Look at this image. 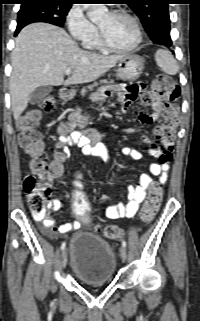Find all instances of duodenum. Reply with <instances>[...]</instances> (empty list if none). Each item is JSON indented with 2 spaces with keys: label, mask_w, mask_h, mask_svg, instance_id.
Here are the masks:
<instances>
[{
  "label": "duodenum",
  "mask_w": 200,
  "mask_h": 321,
  "mask_svg": "<svg viewBox=\"0 0 200 321\" xmlns=\"http://www.w3.org/2000/svg\"><path fill=\"white\" fill-rule=\"evenodd\" d=\"M70 96H71V94H70L69 91L65 90V91L63 92V97L69 98Z\"/></svg>",
  "instance_id": "duodenum-1"
}]
</instances>
